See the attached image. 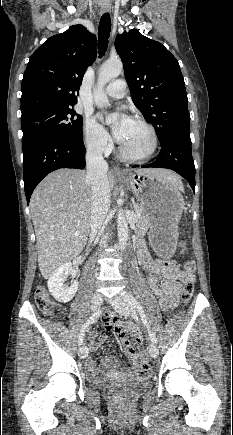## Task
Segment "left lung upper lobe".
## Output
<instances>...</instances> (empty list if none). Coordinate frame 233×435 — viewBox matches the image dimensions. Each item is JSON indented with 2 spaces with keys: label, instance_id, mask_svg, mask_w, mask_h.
I'll list each match as a JSON object with an SVG mask.
<instances>
[{
  "label": "left lung upper lobe",
  "instance_id": "left-lung-upper-lobe-1",
  "mask_svg": "<svg viewBox=\"0 0 233 435\" xmlns=\"http://www.w3.org/2000/svg\"><path fill=\"white\" fill-rule=\"evenodd\" d=\"M115 46L132 101L152 123L160 143L189 132L188 98L177 59L163 44L136 29L118 35Z\"/></svg>",
  "mask_w": 233,
  "mask_h": 435
}]
</instances>
